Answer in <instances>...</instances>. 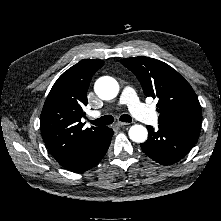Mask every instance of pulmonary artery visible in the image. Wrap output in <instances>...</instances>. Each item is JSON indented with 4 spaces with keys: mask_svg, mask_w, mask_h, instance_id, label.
Segmentation results:
<instances>
[{
    "mask_svg": "<svg viewBox=\"0 0 221 221\" xmlns=\"http://www.w3.org/2000/svg\"><path fill=\"white\" fill-rule=\"evenodd\" d=\"M119 104H125L128 106L129 111L138 120L155 125L157 123V115L149 107L141 103L132 87H125L121 93ZM101 112L93 111L90 116L93 118L99 117Z\"/></svg>",
    "mask_w": 221,
    "mask_h": 221,
    "instance_id": "pulmonary-artery-1",
    "label": "pulmonary artery"
}]
</instances>
